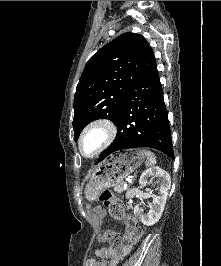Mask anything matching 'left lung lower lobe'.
<instances>
[{"label":"left lung lower lobe","instance_id":"1","mask_svg":"<svg viewBox=\"0 0 221 266\" xmlns=\"http://www.w3.org/2000/svg\"><path fill=\"white\" fill-rule=\"evenodd\" d=\"M117 134L97 163L117 151L151 147L174 158L167 109L158 70L155 69L128 92L118 119Z\"/></svg>","mask_w":221,"mask_h":266}]
</instances>
